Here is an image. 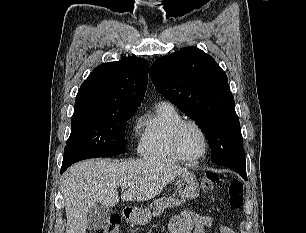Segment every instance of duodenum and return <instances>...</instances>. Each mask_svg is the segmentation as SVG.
Instances as JSON below:
<instances>
[{"instance_id": "410a0bca", "label": "duodenum", "mask_w": 306, "mask_h": 233, "mask_svg": "<svg viewBox=\"0 0 306 233\" xmlns=\"http://www.w3.org/2000/svg\"><path fill=\"white\" fill-rule=\"evenodd\" d=\"M135 211L132 208H126L124 210V215L128 220H132L134 217Z\"/></svg>"}]
</instances>
